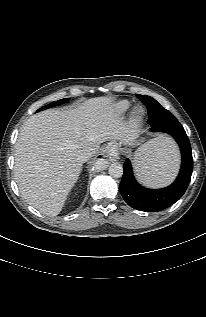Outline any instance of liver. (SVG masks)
<instances>
[{
	"label": "liver",
	"mask_w": 206,
	"mask_h": 317,
	"mask_svg": "<svg viewBox=\"0 0 206 317\" xmlns=\"http://www.w3.org/2000/svg\"><path fill=\"white\" fill-rule=\"evenodd\" d=\"M111 97H96L75 109H49L23 124L15 145V180L22 197L47 216H56L78 180L81 150L95 154L105 141L131 139Z\"/></svg>",
	"instance_id": "1"
}]
</instances>
